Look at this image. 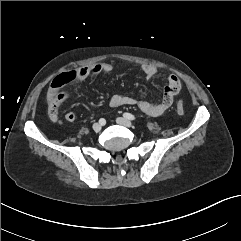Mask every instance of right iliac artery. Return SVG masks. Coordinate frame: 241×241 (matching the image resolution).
<instances>
[{"label":"right iliac artery","instance_id":"right-iliac-artery-1","mask_svg":"<svg viewBox=\"0 0 241 241\" xmlns=\"http://www.w3.org/2000/svg\"><path fill=\"white\" fill-rule=\"evenodd\" d=\"M99 123H100L101 125H105L106 121H105V119L101 118V119L99 120Z\"/></svg>","mask_w":241,"mask_h":241}]
</instances>
